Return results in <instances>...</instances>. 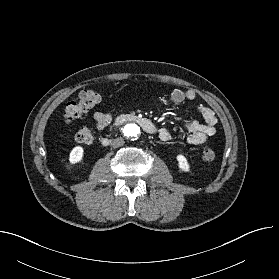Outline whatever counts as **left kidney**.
<instances>
[{
	"mask_svg": "<svg viewBox=\"0 0 279 279\" xmlns=\"http://www.w3.org/2000/svg\"><path fill=\"white\" fill-rule=\"evenodd\" d=\"M176 159L178 161V166L181 171H184V172L190 171V165L184 155L179 154V155H177Z\"/></svg>",
	"mask_w": 279,
	"mask_h": 279,
	"instance_id": "left-kidney-1",
	"label": "left kidney"
}]
</instances>
